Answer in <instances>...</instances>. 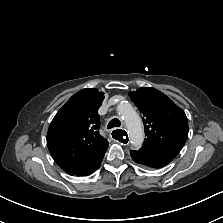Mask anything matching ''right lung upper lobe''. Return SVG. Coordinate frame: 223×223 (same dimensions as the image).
Returning a JSON list of instances; mask_svg holds the SVG:
<instances>
[{"instance_id": "cb5924a9", "label": "right lung upper lobe", "mask_w": 223, "mask_h": 223, "mask_svg": "<svg viewBox=\"0 0 223 223\" xmlns=\"http://www.w3.org/2000/svg\"><path fill=\"white\" fill-rule=\"evenodd\" d=\"M104 93L85 88L74 94L53 118L47 146L55 162L68 174L84 173L99 163L108 141L99 134L98 109Z\"/></svg>"}]
</instances>
